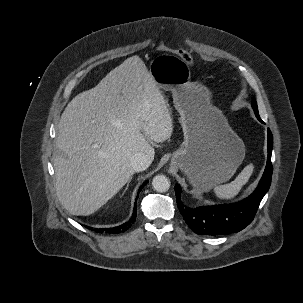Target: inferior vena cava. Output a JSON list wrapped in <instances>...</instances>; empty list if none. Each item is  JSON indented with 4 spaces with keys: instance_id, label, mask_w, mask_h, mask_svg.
Segmentation results:
<instances>
[{
    "instance_id": "obj_1",
    "label": "inferior vena cava",
    "mask_w": 303,
    "mask_h": 303,
    "mask_svg": "<svg viewBox=\"0 0 303 303\" xmlns=\"http://www.w3.org/2000/svg\"><path fill=\"white\" fill-rule=\"evenodd\" d=\"M152 162V159L142 153L135 154L130 161L131 167L134 172L146 170Z\"/></svg>"
}]
</instances>
